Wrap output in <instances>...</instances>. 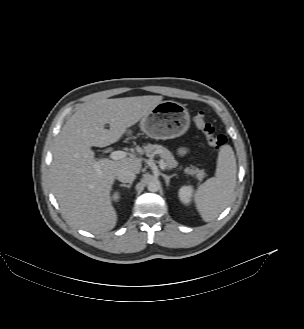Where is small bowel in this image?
<instances>
[{
  "label": "small bowel",
  "instance_id": "1",
  "mask_svg": "<svg viewBox=\"0 0 304 329\" xmlns=\"http://www.w3.org/2000/svg\"><path fill=\"white\" fill-rule=\"evenodd\" d=\"M184 153H185V149H180V150H179V154H180V155H183Z\"/></svg>",
  "mask_w": 304,
  "mask_h": 329
}]
</instances>
